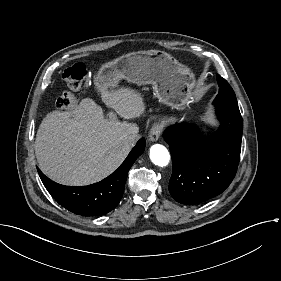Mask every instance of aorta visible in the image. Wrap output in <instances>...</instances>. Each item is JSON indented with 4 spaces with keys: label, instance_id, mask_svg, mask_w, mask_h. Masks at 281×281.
I'll use <instances>...</instances> for the list:
<instances>
[{
    "label": "aorta",
    "instance_id": "1",
    "mask_svg": "<svg viewBox=\"0 0 281 281\" xmlns=\"http://www.w3.org/2000/svg\"><path fill=\"white\" fill-rule=\"evenodd\" d=\"M150 159L158 166H167L170 161V154L167 148L161 144H154L150 148Z\"/></svg>",
    "mask_w": 281,
    "mask_h": 281
}]
</instances>
